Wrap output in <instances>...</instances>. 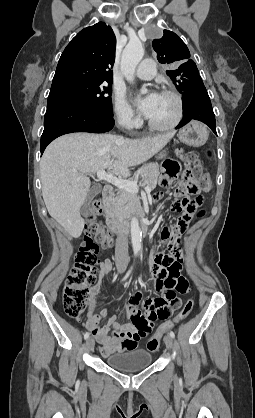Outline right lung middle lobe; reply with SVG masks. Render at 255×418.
<instances>
[{"mask_svg":"<svg viewBox=\"0 0 255 418\" xmlns=\"http://www.w3.org/2000/svg\"><path fill=\"white\" fill-rule=\"evenodd\" d=\"M111 94V86L106 87L103 82L70 81L52 85L48 103H77L97 114L112 118Z\"/></svg>","mask_w":255,"mask_h":418,"instance_id":"dd1d6c3e","label":"right lung middle lobe"}]
</instances>
